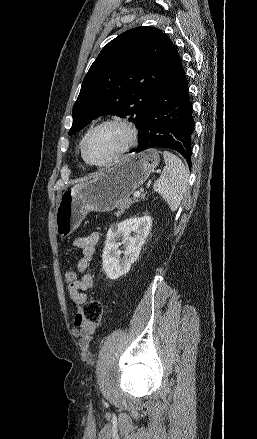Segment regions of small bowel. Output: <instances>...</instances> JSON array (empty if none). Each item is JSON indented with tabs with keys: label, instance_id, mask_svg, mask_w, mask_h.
I'll use <instances>...</instances> for the list:
<instances>
[{
	"label": "small bowel",
	"instance_id": "small-bowel-1",
	"mask_svg": "<svg viewBox=\"0 0 257 439\" xmlns=\"http://www.w3.org/2000/svg\"><path fill=\"white\" fill-rule=\"evenodd\" d=\"M99 240V233L93 232L87 236L76 238L73 241V246L81 250V255L77 261L78 279L75 284L69 285L68 289L71 300L79 307L74 320L73 335L83 350H87L93 340L94 326L82 319L80 305L87 298L85 292L94 285L93 276L88 272V268L93 260L95 247Z\"/></svg>",
	"mask_w": 257,
	"mask_h": 439
}]
</instances>
